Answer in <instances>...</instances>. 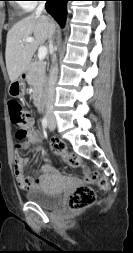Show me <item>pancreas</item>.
Returning a JSON list of instances; mask_svg holds the SVG:
<instances>
[{
	"mask_svg": "<svg viewBox=\"0 0 133 253\" xmlns=\"http://www.w3.org/2000/svg\"><path fill=\"white\" fill-rule=\"evenodd\" d=\"M45 68L46 63L37 60L33 61L28 68L26 79L28 84L32 86L34 101H37L43 92L46 83Z\"/></svg>",
	"mask_w": 133,
	"mask_h": 253,
	"instance_id": "obj_1",
	"label": "pancreas"
}]
</instances>
